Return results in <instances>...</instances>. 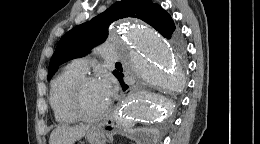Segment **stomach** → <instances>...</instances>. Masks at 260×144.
<instances>
[{"label": "stomach", "mask_w": 260, "mask_h": 144, "mask_svg": "<svg viewBox=\"0 0 260 144\" xmlns=\"http://www.w3.org/2000/svg\"><path fill=\"white\" fill-rule=\"evenodd\" d=\"M86 140L89 144H105L106 136L102 129L93 127L86 132Z\"/></svg>", "instance_id": "stomach-1"}]
</instances>
